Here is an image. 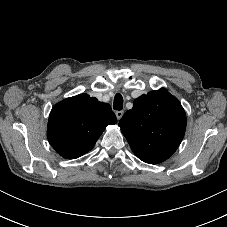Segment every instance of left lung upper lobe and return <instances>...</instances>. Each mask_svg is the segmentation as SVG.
<instances>
[{
	"instance_id": "5c2ea615",
	"label": "left lung upper lobe",
	"mask_w": 227,
	"mask_h": 227,
	"mask_svg": "<svg viewBox=\"0 0 227 227\" xmlns=\"http://www.w3.org/2000/svg\"><path fill=\"white\" fill-rule=\"evenodd\" d=\"M119 126L135 155L146 163L157 164L168 159L180 145L186 115L178 99L160 89L135 99Z\"/></svg>"
}]
</instances>
